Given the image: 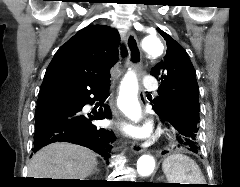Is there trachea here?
<instances>
[{"label":"trachea","mask_w":240,"mask_h":187,"mask_svg":"<svg viewBox=\"0 0 240 187\" xmlns=\"http://www.w3.org/2000/svg\"><path fill=\"white\" fill-rule=\"evenodd\" d=\"M122 55L125 57L127 55V51L123 48L122 49Z\"/></svg>","instance_id":"obj_1"}]
</instances>
